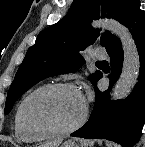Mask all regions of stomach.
Here are the masks:
<instances>
[{"mask_svg":"<svg viewBox=\"0 0 145 147\" xmlns=\"http://www.w3.org/2000/svg\"><path fill=\"white\" fill-rule=\"evenodd\" d=\"M61 147H85V146L83 143L78 145L74 141L69 140V141L64 142Z\"/></svg>","mask_w":145,"mask_h":147,"instance_id":"stomach-1","label":"stomach"}]
</instances>
